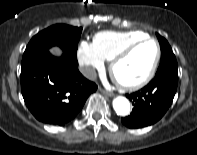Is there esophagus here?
I'll return each mask as SVG.
<instances>
[{"instance_id":"1","label":"esophagus","mask_w":197,"mask_h":155,"mask_svg":"<svg viewBox=\"0 0 197 155\" xmlns=\"http://www.w3.org/2000/svg\"><path fill=\"white\" fill-rule=\"evenodd\" d=\"M99 91L101 92V93H103V94H105V95H107V96H113V93H111V92H109V91H106V90H104L103 88H99Z\"/></svg>"}]
</instances>
